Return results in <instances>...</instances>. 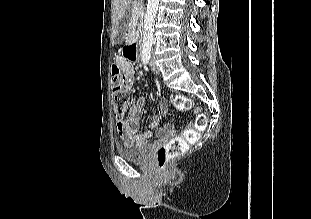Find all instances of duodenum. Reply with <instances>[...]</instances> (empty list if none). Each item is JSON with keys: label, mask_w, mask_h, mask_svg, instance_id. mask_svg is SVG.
<instances>
[{"label": "duodenum", "mask_w": 311, "mask_h": 219, "mask_svg": "<svg viewBox=\"0 0 311 219\" xmlns=\"http://www.w3.org/2000/svg\"><path fill=\"white\" fill-rule=\"evenodd\" d=\"M129 49H135L136 52L140 51L141 45L138 37V31L133 30L129 33V43H128Z\"/></svg>", "instance_id": "1"}]
</instances>
